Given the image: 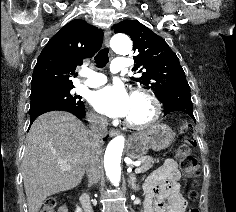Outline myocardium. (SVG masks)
<instances>
[{"label":"myocardium","mask_w":236,"mask_h":212,"mask_svg":"<svg viewBox=\"0 0 236 212\" xmlns=\"http://www.w3.org/2000/svg\"><path fill=\"white\" fill-rule=\"evenodd\" d=\"M132 97H139L146 101L150 107L149 115L143 121H133L126 118L124 124L132 130H144L151 127L161 114V105L159 100L148 90L143 88H135L131 94Z\"/></svg>","instance_id":"obj_1"}]
</instances>
